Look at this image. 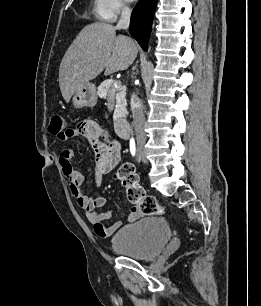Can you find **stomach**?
Returning <instances> with one entry per match:
<instances>
[{
	"label": "stomach",
	"instance_id": "stomach-1",
	"mask_svg": "<svg viewBox=\"0 0 261 306\" xmlns=\"http://www.w3.org/2000/svg\"><path fill=\"white\" fill-rule=\"evenodd\" d=\"M96 87L93 83H85L73 95L75 108L94 107L97 103Z\"/></svg>",
	"mask_w": 261,
	"mask_h": 306
}]
</instances>
